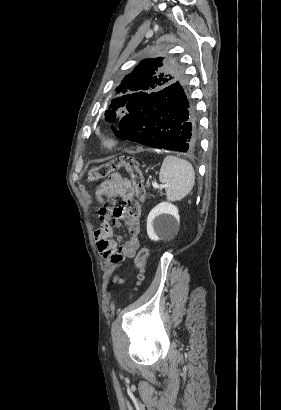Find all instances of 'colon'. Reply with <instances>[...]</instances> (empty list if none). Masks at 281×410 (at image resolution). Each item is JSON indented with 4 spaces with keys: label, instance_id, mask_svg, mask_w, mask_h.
Masks as SVG:
<instances>
[{
    "label": "colon",
    "instance_id": "1",
    "mask_svg": "<svg viewBox=\"0 0 281 410\" xmlns=\"http://www.w3.org/2000/svg\"><path fill=\"white\" fill-rule=\"evenodd\" d=\"M120 169H125L130 175L137 200H133L127 195L116 194L109 198V206L113 209L116 216L125 212L130 214H138L140 210V203L143 202L146 197V189L144 186L143 175L137 162L133 158L120 157L108 163L92 167L87 174V179L89 181L103 180ZM148 255V249L143 247L139 250L135 258V264L139 270V281H142L144 278Z\"/></svg>",
    "mask_w": 281,
    "mask_h": 410
}]
</instances>
